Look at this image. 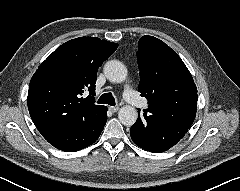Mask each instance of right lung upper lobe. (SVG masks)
Segmentation results:
<instances>
[{"label": "right lung upper lobe", "instance_id": "cb5924a9", "mask_svg": "<svg viewBox=\"0 0 240 191\" xmlns=\"http://www.w3.org/2000/svg\"><path fill=\"white\" fill-rule=\"evenodd\" d=\"M118 44L97 37H80L59 46L38 67L29 84L27 104L43 134L95 120L105 106L95 104L98 68ZM87 97H81L84 92Z\"/></svg>", "mask_w": 240, "mask_h": 191}]
</instances>
